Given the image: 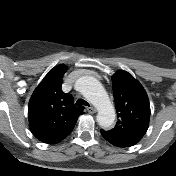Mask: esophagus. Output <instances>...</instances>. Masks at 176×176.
I'll list each match as a JSON object with an SVG mask.
<instances>
[{"label":"esophagus","instance_id":"34e87169","mask_svg":"<svg viewBox=\"0 0 176 176\" xmlns=\"http://www.w3.org/2000/svg\"><path fill=\"white\" fill-rule=\"evenodd\" d=\"M87 111H88V113H90V114H94V113H96V109L94 108V107H88L87 108Z\"/></svg>","mask_w":176,"mask_h":176}]
</instances>
